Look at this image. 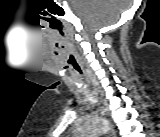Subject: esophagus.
<instances>
[{
  "label": "esophagus",
  "mask_w": 160,
  "mask_h": 137,
  "mask_svg": "<svg viewBox=\"0 0 160 137\" xmlns=\"http://www.w3.org/2000/svg\"><path fill=\"white\" fill-rule=\"evenodd\" d=\"M104 112H105V109H104ZM112 135H113V134H112V133H110L108 137H111Z\"/></svg>",
  "instance_id": "esophagus-1"
}]
</instances>
